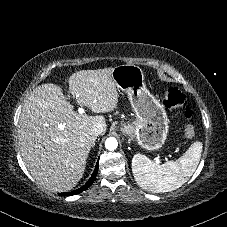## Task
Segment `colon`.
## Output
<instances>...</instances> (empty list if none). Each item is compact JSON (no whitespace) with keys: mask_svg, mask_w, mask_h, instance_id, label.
I'll return each instance as SVG.
<instances>
[{"mask_svg":"<svg viewBox=\"0 0 227 227\" xmlns=\"http://www.w3.org/2000/svg\"><path fill=\"white\" fill-rule=\"evenodd\" d=\"M163 102L169 109H183L186 119H189L192 116L190 103L178 88L166 89L163 94ZM185 135L188 138H191L194 135V127L192 124H186Z\"/></svg>","mask_w":227,"mask_h":227,"instance_id":"obj_1","label":"colon"}]
</instances>
